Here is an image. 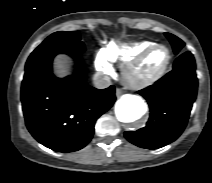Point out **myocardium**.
Returning a JSON list of instances; mask_svg holds the SVG:
<instances>
[{
	"label": "myocardium",
	"instance_id": "1",
	"mask_svg": "<svg viewBox=\"0 0 212 183\" xmlns=\"http://www.w3.org/2000/svg\"><path fill=\"white\" fill-rule=\"evenodd\" d=\"M157 48H165L168 52V59H167L165 65L158 72H156L155 74H153L145 79L134 80L131 77L132 72L144 61V59L152 51H154ZM172 58H173L172 51L165 44L156 43V44L146 48L138 56H136L134 59H132L131 61H129L128 63H126L123 66L122 71H121L123 83L128 88L134 89V90H142V89H145V88L155 84L157 81H159L164 76V74L169 69L171 62H172Z\"/></svg>",
	"mask_w": 212,
	"mask_h": 183
}]
</instances>
